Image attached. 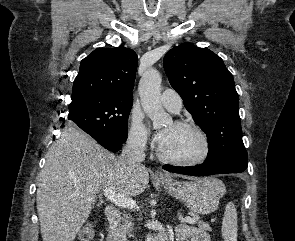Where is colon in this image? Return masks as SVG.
Returning <instances> with one entry per match:
<instances>
[{"mask_svg": "<svg viewBox=\"0 0 295 241\" xmlns=\"http://www.w3.org/2000/svg\"><path fill=\"white\" fill-rule=\"evenodd\" d=\"M95 233V226L92 223L86 224L80 231V241H92Z\"/></svg>", "mask_w": 295, "mask_h": 241, "instance_id": "5ec220e1", "label": "colon"}]
</instances>
